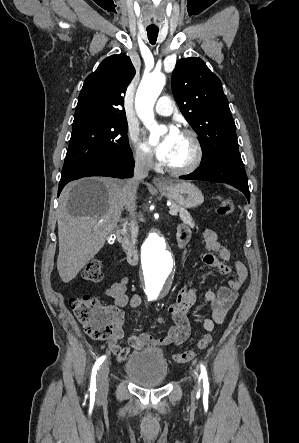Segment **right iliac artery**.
<instances>
[{
  "label": "right iliac artery",
  "mask_w": 299,
  "mask_h": 443,
  "mask_svg": "<svg viewBox=\"0 0 299 443\" xmlns=\"http://www.w3.org/2000/svg\"><path fill=\"white\" fill-rule=\"evenodd\" d=\"M106 359V356L103 355L100 358L97 359V361L95 362L93 369H92V373H91V381H90V391L92 393L96 392V375H97V370H99L100 365L103 363V361Z\"/></svg>",
  "instance_id": "obj_1"
}]
</instances>
